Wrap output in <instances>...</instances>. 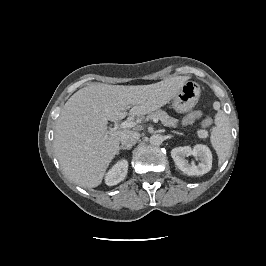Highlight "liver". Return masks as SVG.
Wrapping results in <instances>:
<instances>
[{
	"label": "liver",
	"instance_id": "liver-1",
	"mask_svg": "<svg viewBox=\"0 0 266 266\" xmlns=\"http://www.w3.org/2000/svg\"><path fill=\"white\" fill-rule=\"evenodd\" d=\"M188 80L176 76L150 85L92 83L74 93L57 119L54 150L64 175L83 187L101 184L117 154L121 136L109 133L108 121L142 116L167 104ZM131 109L129 113L126 108Z\"/></svg>",
	"mask_w": 266,
	"mask_h": 266
}]
</instances>
